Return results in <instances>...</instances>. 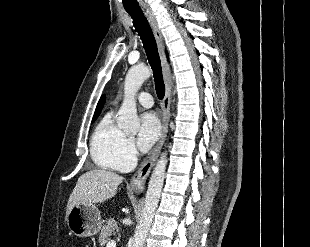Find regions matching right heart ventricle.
<instances>
[{
  "instance_id": "1",
  "label": "right heart ventricle",
  "mask_w": 310,
  "mask_h": 247,
  "mask_svg": "<svg viewBox=\"0 0 310 247\" xmlns=\"http://www.w3.org/2000/svg\"><path fill=\"white\" fill-rule=\"evenodd\" d=\"M125 138L116 125L112 111L107 112L98 122L90 140L93 162L102 169H118L120 147Z\"/></svg>"
}]
</instances>
